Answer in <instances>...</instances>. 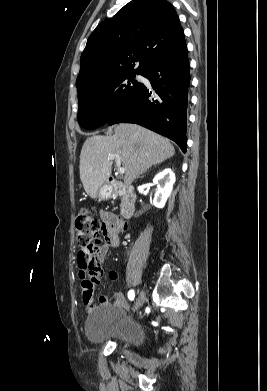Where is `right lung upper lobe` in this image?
I'll return each mask as SVG.
<instances>
[{
  "label": "right lung upper lobe",
  "mask_w": 267,
  "mask_h": 391,
  "mask_svg": "<svg viewBox=\"0 0 267 391\" xmlns=\"http://www.w3.org/2000/svg\"><path fill=\"white\" fill-rule=\"evenodd\" d=\"M184 45L183 29L169 2L132 0L88 38L76 80L78 93L108 75L143 72L153 61Z\"/></svg>",
  "instance_id": "obj_1"
}]
</instances>
